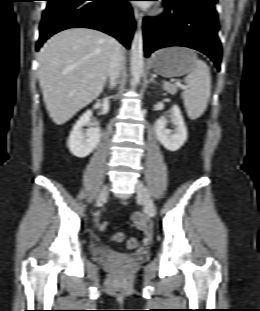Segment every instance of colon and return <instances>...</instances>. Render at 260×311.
I'll return each instance as SVG.
<instances>
[{"mask_svg":"<svg viewBox=\"0 0 260 311\" xmlns=\"http://www.w3.org/2000/svg\"><path fill=\"white\" fill-rule=\"evenodd\" d=\"M108 228V222H103L100 225V229L102 231H105ZM112 240L114 242H122V241H126V245L129 249L133 250L136 249L139 245V241L138 239L134 238V237H129L126 238L125 234L123 232H116L112 235Z\"/></svg>","mask_w":260,"mask_h":311,"instance_id":"obj_1","label":"colon"}]
</instances>
